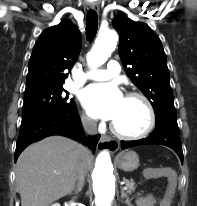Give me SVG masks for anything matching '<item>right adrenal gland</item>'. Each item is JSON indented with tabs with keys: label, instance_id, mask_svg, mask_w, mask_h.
I'll use <instances>...</instances> for the list:
<instances>
[{
	"label": "right adrenal gland",
	"instance_id": "1",
	"mask_svg": "<svg viewBox=\"0 0 197 206\" xmlns=\"http://www.w3.org/2000/svg\"><path fill=\"white\" fill-rule=\"evenodd\" d=\"M80 191V188L74 190V194H77Z\"/></svg>",
	"mask_w": 197,
	"mask_h": 206
}]
</instances>
